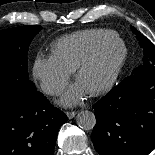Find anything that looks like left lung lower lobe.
<instances>
[{
	"instance_id": "0a47b994",
	"label": "left lung lower lobe",
	"mask_w": 155,
	"mask_h": 155,
	"mask_svg": "<svg viewBox=\"0 0 155 155\" xmlns=\"http://www.w3.org/2000/svg\"><path fill=\"white\" fill-rule=\"evenodd\" d=\"M93 108L100 155H147L155 147V68L130 75Z\"/></svg>"
}]
</instances>
